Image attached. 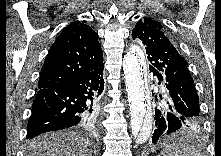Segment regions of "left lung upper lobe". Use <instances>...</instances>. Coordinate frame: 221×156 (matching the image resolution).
I'll use <instances>...</instances> for the list:
<instances>
[{
  "instance_id": "left-lung-upper-lobe-1",
  "label": "left lung upper lobe",
  "mask_w": 221,
  "mask_h": 156,
  "mask_svg": "<svg viewBox=\"0 0 221 156\" xmlns=\"http://www.w3.org/2000/svg\"><path fill=\"white\" fill-rule=\"evenodd\" d=\"M133 39H140L145 45L150 71H158L165 78V89L175 106L195 119L201 118L199 98L193 79L172 38L152 18L140 19L133 31Z\"/></svg>"
}]
</instances>
